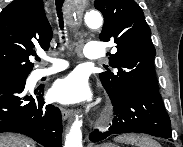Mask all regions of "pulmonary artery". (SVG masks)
I'll return each mask as SVG.
<instances>
[{
	"mask_svg": "<svg viewBox=\"0 0 183 147\" xmlns=\"http://www.w3.org/2000/svg\"><path fill=\"white\" fill-rule=\"evenodd\" d=\"M83 54L89 59H99L102 57V47L99 43L88 42L83 48ZM50 60L53 63L51 67L40 68L34 72V77L36 80L60 72L68 66L63 60H59L57 58H51Z\"/></svg>",
	"mask_w": 183,
	"mask_h": 147,
	"instance_id": "pulmonary-artery-1",
	"label": "pulmonary artery"
}]
</instances>
